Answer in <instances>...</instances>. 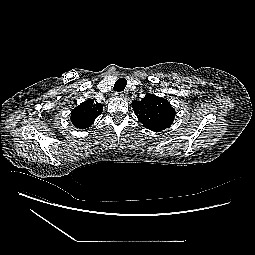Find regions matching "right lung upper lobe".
<instances>
[{"label": "right lung upper lobe", "mask_w": 255, "mask_h": 255, "mask_svg": "<svg viewBox=\"0 0 255 255\" xmlns=\"http://www.w3.org/2000/svg\"><path fill=\"white\" fill-rule=\"evenodd\" d=\"M102 111V104L94 103L92 99H89L72 110L71 122L77 128H88L102 114Z\"/></svg>", "instance_id": "1"}]
</instances>
